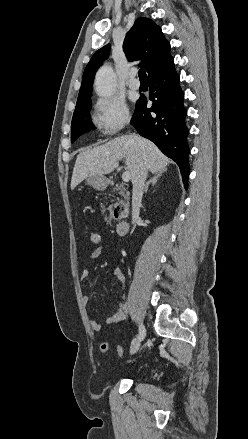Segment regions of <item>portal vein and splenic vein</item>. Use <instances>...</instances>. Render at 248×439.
Here are the masks:
<instances>
[{
	"mask_svg": "<svg viewBox=\"0 0 248 439\" xmlns=\"http://www.w3.org/2000/svg\"><path fill=\"white\" fill-rule=\"evenodd\" d=\"M130 178H131L130 171L126 170L125 172H123L122 180H123L124 182H129V181H130Z\"/></svg>",
	"mask_w": 248,
	"mask_h": 439,
	"instance_id": "18ae733b",
	"label": "portal vein and splenic vein"
}]
</instances>
